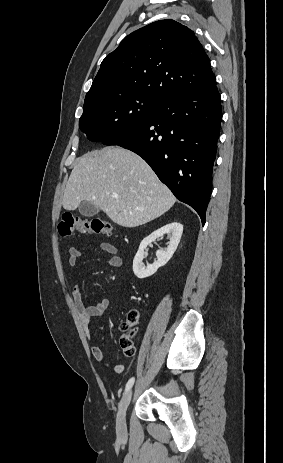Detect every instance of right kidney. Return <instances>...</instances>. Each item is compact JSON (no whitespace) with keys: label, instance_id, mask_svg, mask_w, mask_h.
Returning <instances> with one entry per match:
<instances>
[{"label":"right kidney","instance_id":"right-kidney-1","mask_svg":"<svg viewBox=\"0 0 283 463\" xmlns=\"http://www.w3.org/2000/svg\"><path fill=\"white\" fill-rule=\"evenodd\" d=\"M182 232L183 225L178 222H172L159 228L148 237L144 238L140 243L139 249L133 260L134 274L138 278L143 279L153 275L159 267L164 266L176 251L182 236ZM164 234H167L170 239L167 249L165 251L158 250L156 252L157 261L154 264H147V266H145L142 262L144 259V250L151 242L155 241L157 238L163 236Z\"/></svg>","mask_w":283,"mask_h":463}]
</instances>
